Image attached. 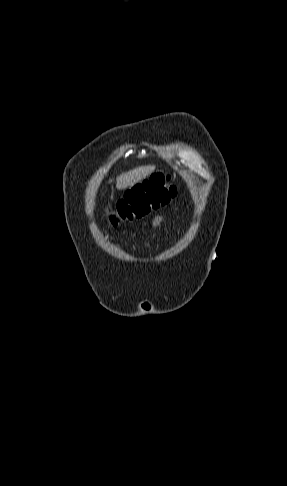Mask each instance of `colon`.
Segmentation results:
<instances>
[{"label":"colon","mask_w":287,"mask_h":486,"mask_svg":"<svg viewBox=\"0 0 287 486\" xmlns=\"http://www.w3.org/2000/svg\"><path fill=\"white\" fill-rule=\"evenodd\" d=\"M177 193L178 188L170 175L154 174L126 190L110 209L109 220L117 225L121 221L142 219L167 204Z\"/></svg>","instance_id":"5ec220e1"}]
</instances>
